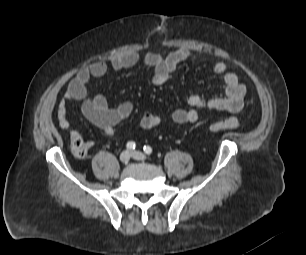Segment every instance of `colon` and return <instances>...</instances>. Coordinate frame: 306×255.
<instances>
[{
  "mask_svg": "<svg viewBox=\"0 0 306 255\" xmlns=\"http://www.w3.org/2000/svg\"><path fill=\"white\" fill-rule=\"evenodd\" d=\"M240 123L237 118L229 117L213 122L210 125L212 131L233 130L239 128ZM70 145L72 154L77 158H84L89 151V143L78 133L72 132L70 135Z\"/></svg>",
  "mask_w": 306,
  "mask_h": 255,
  "instance_id": "obj_1",
  "label": "colon"
}]
</instances>
